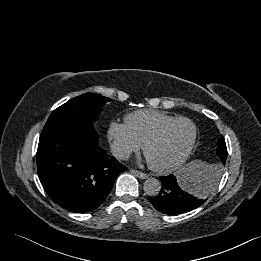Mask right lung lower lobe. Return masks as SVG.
Listing matches in <instances>:
<instances>
[{"label":"right lung lower lobe","mask_w":261,"mask_h":261,"mask_svg":"<svg viewBox=\"0 0 261 261\" xmlns=\"http://www.w3.org/2000/svg\"><path fill=\"white\" fill-rule=\"evenodd\" d=\"M38 176L49 197L72 212H88L109 195L127 170L98 144L93 122L59 125L42 131Z\"/></svg>","instance_id":"1"}]
</instances>
